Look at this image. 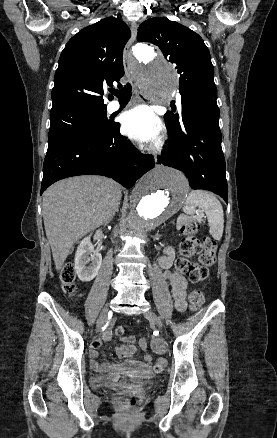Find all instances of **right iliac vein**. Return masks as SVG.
Segmentation results:
<instances>
[{
	"mask_svg": "<svg viewBox=\"0 0 277 438\" xmlns=\"http://www.w3.org/2000/svg\"><path fill=\"white\" fill-rule=\"evenodd\" d=\"M108 313H109V308L105 307L101 312L99 319L97 321V332H99L102 326L105 324Z\"/></svg>",
	"mask_w": 277,
	"mask_h": 438,
	"instance_id": "63e3f726",
	"label": "right iliac vein"
}]
</instances>
